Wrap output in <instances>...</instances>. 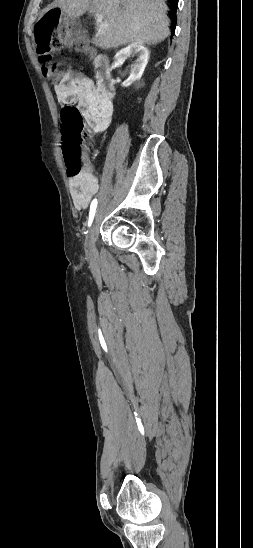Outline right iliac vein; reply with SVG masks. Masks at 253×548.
I'll return each mask as SVG.
<instances>
[{
	"mask_svg": "<svg viewBox=\"0 0 253 548\" xmlns=\"http://www.w3.org/2000/svg\"><path fill=\"white\" fill-rule=\"evenodd\" d=\"M96 222L93 223L85 239V252L89 260H95L97 252L95 247Z\"/></svg>",
	"mask_w": 253,
	"mask_h": 548,
	"instance_id": "obj_1",
	"label": "right iliac vein"
}]
</instances>
